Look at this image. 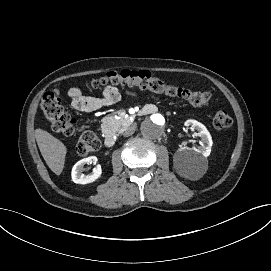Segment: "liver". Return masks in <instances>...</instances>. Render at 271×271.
Here are the masks:
<instances>
[{"mask_svg": "<svg viewBox=\"0 0 271 271\" xmlns=\"http://www.w3.org/2000/svg\"><path fill=\"white\" fill-rule=\"evenodd\" d=\"M35 139L48 167L59 175L64 167L66 149L64 145L45 131L36 130Z\"/></svg>", "mask_w": 271, "mask_h": 271, "instance_id": "obj_1", "label": "liver"}]
</instances>
